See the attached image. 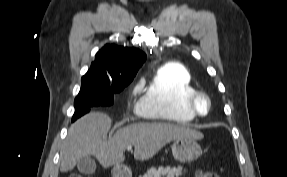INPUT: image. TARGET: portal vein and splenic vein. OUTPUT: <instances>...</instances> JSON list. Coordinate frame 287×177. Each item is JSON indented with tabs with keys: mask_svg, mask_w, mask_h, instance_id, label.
Returning a JSON list of instances; mask_svg holds the SVG:
<instances>
[{
	"mask_svg": "<svg viewBox=\"0 0 287 177\" xmlns=\"http://www.w3.org/2000/svg\"><path fill=\"white\" fill-rule=\"evenodd\" d=\"M127 150H132V146H127Z\"/></svg>",
	"mask_w": 287,
	"mask_h": 177,
	"instance_id": "1",
	"label": "portal vein and splenic vein"
}]
</instances>
